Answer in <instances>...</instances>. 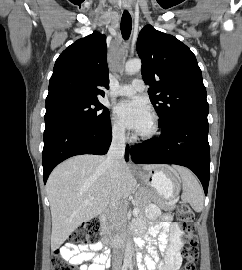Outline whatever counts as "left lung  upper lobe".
I'll use <instances>...</instances> for the list:
<instances>
[{"label":"left lung upper lobe","instance_id":"1","mask_svg":"<svg viewBox=\"0 0 242 270\" xmlns=\"http://www.w3.org/2000/svg\"><path fill=\"white\" fill-rule=\"evenodd\" d=\"M137 52L160 128L183 116L208 115L202 73L195 55L185 44L146 25L139 33Z\"/></svg>","mask_w":242,"mask_h":270}]
</instances>
